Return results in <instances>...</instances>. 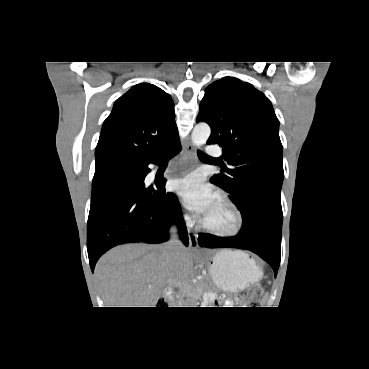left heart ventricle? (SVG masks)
I'll list each match as a JSON object with an SVG mask.
<instances>
[{
    "instance_id": "left-heart-ventricle-1",
    "label": "left heart ventricle",
    "mask_w": 369,
    "mask_h": 369,
    "mask_svg": "<svg viewBox=\"0 0 369 369\" xmlns=\"http://www.w3.org/2000/svg\"><path fill=\"white\" fill-rule=\"evenodd\" d=\"M202 219L209 226L222 231L229 230L234 223V217L231 211L218 199L215 201L212 207L203 215Z\"/></svg>"
}]
</instances>
